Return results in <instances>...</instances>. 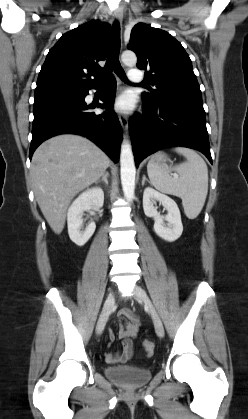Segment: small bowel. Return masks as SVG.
Listing matches in <instances>:
<instances>
[{"label":"small bowel","mask_w":248,"mask_h":419,"mask_svg":"<svg viewBox=\"0 0 248 419\" xmlns=\"http://www.w3.org/2000/svg\"><path fill=\"white\" fill-rule=\"evenodd\" d=\"M120 327L117 333L118 338L122 341V350L117 353H106L105 360L110 364H122L131 359L134 354L133 340L137 336L139 330V318L129 308H123L118 313ZM116 335L112 330L107 333L110 341L115 339Z\"/></svg>","instance_id":"1"}]
</instances>
